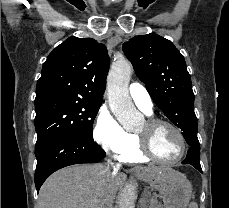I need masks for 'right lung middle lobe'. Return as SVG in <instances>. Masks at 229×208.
<instances>
[{"label": "right lung middle lobe", "mask_w": 229, "mask_h": 208, "mask_svg": "<svg viewBox=\"0 0 229 208\" xmlns=\"http://www.w3.org/2000/svg\"><path fill=\"white\" fill-rule=\"evenodd\" d=\"M34 104L36 147L62 133H74L93 140V121L101 104L66 96L48 97Z\"/></svg>", "instance_id": "1"}]
</instances>
